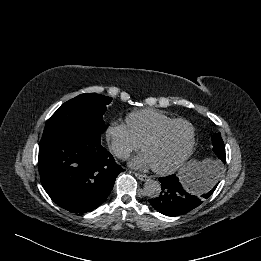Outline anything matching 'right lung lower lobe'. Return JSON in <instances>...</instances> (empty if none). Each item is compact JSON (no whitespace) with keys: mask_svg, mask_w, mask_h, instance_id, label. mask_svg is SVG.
Segmentation results:
<instances>
[{"mask_svg":"<svg viewBox=\"0 0 261 261\" xmlns=\"http://www.w3.org/2000/svg\"><path fill=\"white\" fill-rule=\"evenodd\" d=\"M38 167L50 198L74 213L91 212L101 205L124 171L101 145L100 132L92 128L43 136Z\"/></svg>","mask_w":261,"mask_h":261,"instance_id":"obj_1","label":"right lung lower lobe"}]
</instances>
